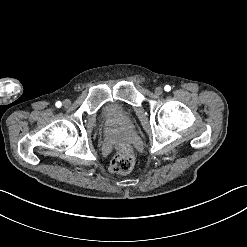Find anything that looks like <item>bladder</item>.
<instances>
[{"instance_id": "31cf9c89", "label": "bladder", "mask_w": 247, "mask_h": 247, "mask_svg": "<svg viewBox=\"0 0 247 247\" xmlns=\"http://www.w3.org/2000/svg\"><path fill=\"white\" fill-rule=\"evenodd\" d=\"M105 118H106L107 122L110 123L111 125L127 126L129 124L128 121L119 120L115 115H113L109 112L105 113Z\"/></svg>"}]
</instances>
